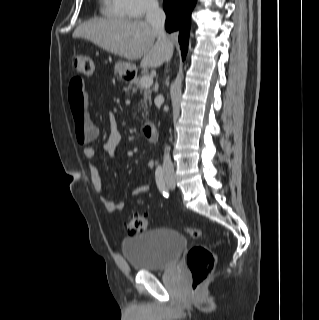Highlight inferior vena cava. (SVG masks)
<instances>
[{
	"instance_id": "inferior-vena-cava-1",
	"label": "inferior vena cava",
	"mask_w": 319,
	"mask_h": 320,
	"mask_svg": "<svg viewBox=\"0 0 319 320\" xmlns=\"http://www.w3.org/2000/svg\"><path fill=\"white\" fill-rule=\"evenodd\" d=\"M146 21L152 26V28L158 33L159 39L168 42V38L165 33V13L159 7L157 0H151L146 12ZM171 55L166 58V61H170ZM163 172L166 175H174V167L169 155V147L165 148L163 159Z\"/></svg>"
}]
</instances>
